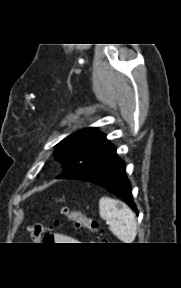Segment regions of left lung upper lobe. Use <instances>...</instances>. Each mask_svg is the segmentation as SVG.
<instances>
[{
    "label": "left lung upper lobe",
    "mask_w": 181,
    "mask_h": 288,
    "mask_svg": "<svg viewBox=\"0 0 181 288\" xmlns=\"http://www.w3.org/2000/svg\"><path fill=\"white\" fill-rule=\"evenodd\" d=\"M116 148L97 128L75 132L55 146L65 171L57 178L81 179L105 162Z\"/></svg>",
    "instance_id": "1"
}]
</instances>
